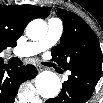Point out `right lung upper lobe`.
I'll return each mask as SVG.
<instances>
[{"instance_id":"cb5924a9","label":"right lung upper lobe","mask_w":103,"mask_h":103,"mask_svg":"<svg viewBox=\"0 0 103 103\" xmlns=\"http://www.w3.org/2000/svg\"><path fill=\"white\" fill-rule=\"evenodd\" d=\"M49 7L34 5H0V52L17 45L27 24L34 18H45ZM0 64L1 58H0Z\"/></svg>"}]
</instances>
